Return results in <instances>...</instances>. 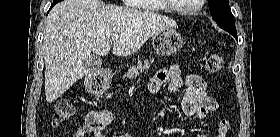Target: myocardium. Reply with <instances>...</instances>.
Wrapping results in <instances>:
<instances>
[{
	"instance_id": "myocardium-1",
	"label": "myocardium",
	"mask_w": 280,
	"mask_h": 137,
	"mask_svg": "<svg viewBox=\"0 0 280 137\" xmlns=\"http://www.w3.org/2000/svg\"><path fill=\"white\" fill-rule=\"evenodd\" d=\"M197 2L198 3L194 7H191V8H177V7L170 6V5H165V7L168 10H170L172 12H175V13L193 14V13H196V12L201 10L204 1L203 0H198Z\"/></svg>"
}]
</instances>
